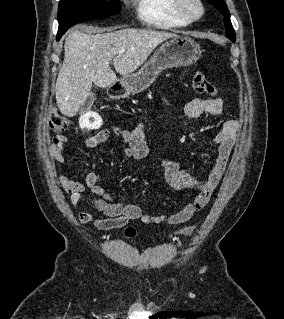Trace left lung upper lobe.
Instances as JSON below:
<instances>
[{
  "instance_id": "obj_1",
  "label": "left lung upper lobe",
  "mask_w": 284,
  "mask_h": 319,
  "mask_svg": "<svg viewBox=\"0 0 284 319\" xmlns=\"http://www.w3.org/2000/svg\"><path fill=\"white\" fill-rule=\"evenodd\" d=\"M210 4L214 5L224 16V25L226 27V37L232 42H235V31L230 21L229 10L223 0H207Z\"/></svg>"
}]
</instances>
